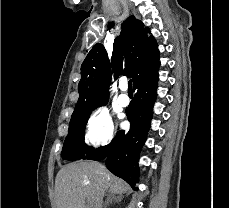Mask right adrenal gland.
<instances>
[{
	"label": "right adrenal gland",
	"mask_w": 229,
	"mask_h": 208,
	"mask_svg": "<svg viewBox=\"0 0 229 208\" xmlns=\"http://www.w3.org/2000/svg\"><path fill=\"white\" fill-rule=\"evenodd\" d=\"M113 200H114V202H122L121 196H115V194H110V196H108V200L106 202L105 208H107V206H109V204H112Z\"/></svg>",
	"instance_id": "1"
}]
</instances>
